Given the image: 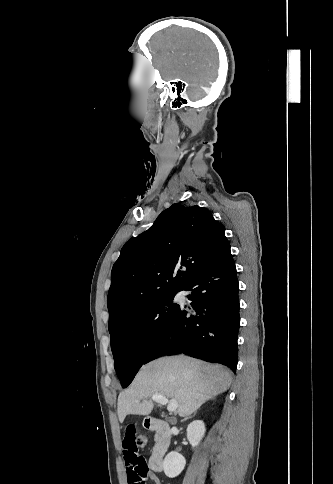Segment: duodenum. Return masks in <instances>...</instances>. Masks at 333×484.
<instances>
[{"mask_svg": "<svg viewBox=\"0 0 333 484\" xmlns=\"http://www.w3.org/2000/svg\"><path fill=\"white\" fill-rule=\"evenodd\" d=\"M145 427L155 431L158 435V440L153 448L149 464L153 471L160 472L163 470V457L169 447L172 430L167 422L152 417L145 420Z\"/></svg>", "mask_w": 333, "mask_h": 484, "instance_id": "1", "label": "duodenum"}]
</instances>
